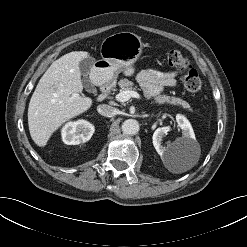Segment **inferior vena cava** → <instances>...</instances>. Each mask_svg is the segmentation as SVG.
<instances>
[{
    "label": "inferior vena cava",
    "instance_id": "obj_1",
    "mask_svg": "<svg viewBox=\"0 0 247 247\" xmlns=\"http://www.w3.org/2000/svg\"><path fill=\"white\" fill-rule=\"evenodd\" d=\"M97 111L105 117H112L117 114V109L107 104L99 105L97 107Z\"/></svg>",
    "mask_w": 247,
    "mask_h": 247
}]
</instances>
